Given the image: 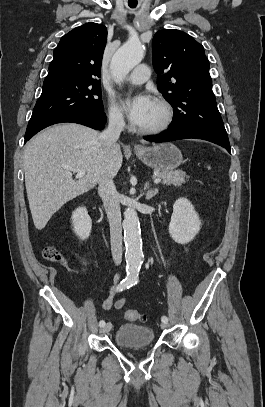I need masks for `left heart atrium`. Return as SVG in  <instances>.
Wrapping results in <instances>:
<instances>
[{
  "label": "left heart atrium",
  "mask_w": 265,
  "mask_h": 407,
  "mask_svg": "<svg viewBox=\"0 0 265 407\" xmlns=\"http://www.w3.org/2000/svg\"><path fill=\"white\" fill-rule=\"evenodd\" d=\"M153 99L147 94H140L125 101V106L128 110L130 120L141 125L149 115L153 107Z\"/></svg>",
  "instance_id": "1"
}]
</instances>
